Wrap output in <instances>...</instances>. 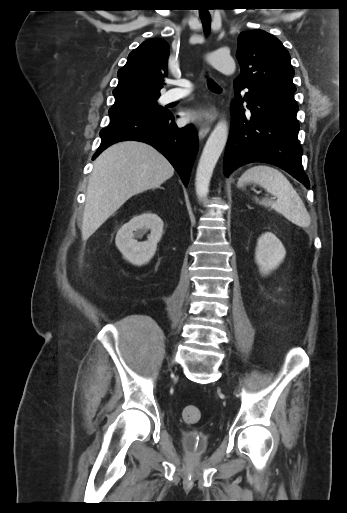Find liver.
<instances>
[{
	"label": "liver",
	"instance_id": "6515ba94",
	"mask_svg": "<svg viewBox=\"0 0 347 513\" xmlns=\"http://www.w3.org/2000/svg\"><path fill=\"white\" fill-rule=\"evenodd\" d=\"M173 174L172 165L149 144L127 140L108 147L89 178L82 238L88 239L129 198L160 187Z\"/></svg>",
	"mask_w": 347,
	"mask_h": 513
}]
</instances>
